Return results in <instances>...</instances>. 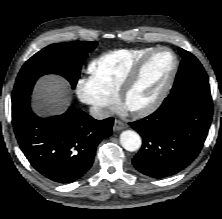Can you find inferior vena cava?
I'll use <instances>...</instances> for the list:
<instances>
[{
  "instance_id": "inferior-vena-cava-1",
  "label": "inferior vena cava",
  "mask_w": 222,
  "mask_h": 219,
  "mask_svg": "<svg viewBox=\"0 0 222 219\" xmlns=\"http://www.w3.org/2000/svg\"><path fill=\"white\" fill-rule=\"evenodd\" d=\"M113 112L108 108H102L98 106L90 107V115L95 119H105L110 117Z\"/></svg>"
}]
</instances>
